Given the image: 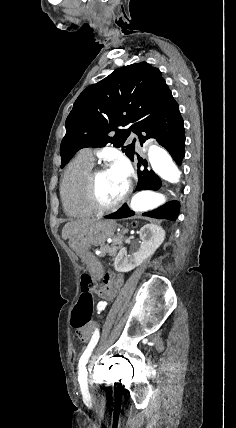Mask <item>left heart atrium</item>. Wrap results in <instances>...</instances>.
<instances>
[{"label": "left heart atrium", "mask_w": 236, "mask_h": 428, "mask_svg": "<svg viewBox=\"0 0 236 428\" xmlns=\"http://www.w3.org/2000/svg\"><path fill=\"white\" fill-rule=\"evenodd\" d=\"M112 167H113V169H115V170L123 171V172H126V173L128 174V171H127L128 166H127V165H126V163H125L123 160H121V159H117V160H115V161L112 163Z\"/></svg>", "instance_id": "left-heart-atrium-1"}]
</instances>
